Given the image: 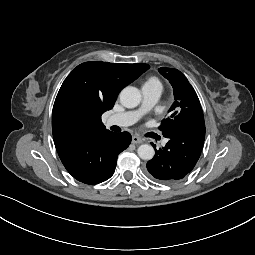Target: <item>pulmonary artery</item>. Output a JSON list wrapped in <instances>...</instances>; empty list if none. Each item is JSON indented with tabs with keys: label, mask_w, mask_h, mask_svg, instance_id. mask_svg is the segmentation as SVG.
Listing matches in <instances>:
<instances>
[{
	"label": "pulmonary artery",
	"mask_w": 255,
	"mask_h": 255,
	"mask_svg": "<svg viewBox=\"0 0 255 255\" xmlns=\"http://www.w3.org/2000/svg\"><path fill=\"white\" fill-rule=\"evenodd\" d=\"M162 92L160 86H143V103L140 109L112 115L108 118V125L120 127L130 126L137 122L142 114L149 111L159 100ZM166 143V141H164Z\"/></svg>",
	"instance_id": "1"
}]
</instances>
